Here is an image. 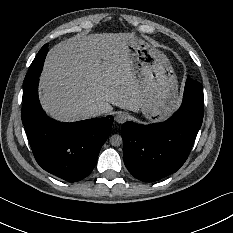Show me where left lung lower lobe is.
<instances>
[{"label":"left lung lower lobe","instance_id":"1","mask_svg":"<svg viewBox=\"0 0 233 233\" xmlns=\"http://www.w3.org/2000/svg\"><path fill=\"white\" fill-rule=\"evenodd\" d=\"M204 114L201 83L187 78L181 107L162 123L126 122L121 130L123 159L129 172L144 182L175 173L189 156Z\"/></svg>","mask_w":233,"mask_h":233}]
</instances>
